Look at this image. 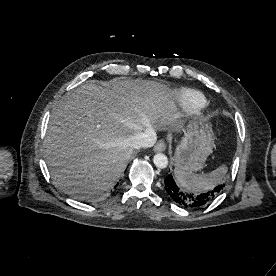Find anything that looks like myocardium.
<instances>
[{
  "instance_id": "myocardium-1",
  "label": "myocardium",
  "mask_w": 276,
  "mask_h": 276,
  "mask_svg": "<svg viewBox=\"0 0 276 276\" xmlns=\"http://www.w3.org/2000/svg\"><path fill=\"white\" fill-rule=\"evenodd\" d=\"M202 109H203V107L202 108H200L199 110H197L198 112H200V111H202Z\"/></svg>"
}]
</instances>
